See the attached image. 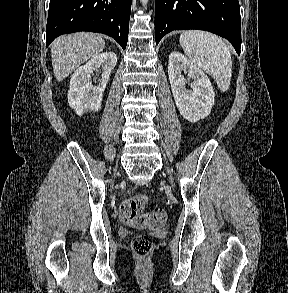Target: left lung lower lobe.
Masks as SVG:
<instances>
[{"label": "left lung lower lobe", "instance_id": "1", "mask_svg": "<svg viewBox=\"0 0 288 293\" xmlns=\"http://www.w3.org/2000/svg\"><path fill=\"white\" fill-rule=\"evenodd\" d=\"M199 29L226 38L240 55L238 0H155L156 44L173 30Z\"/></svg>", "mask_w": 288, "mask_h": 293}]
</instances>
